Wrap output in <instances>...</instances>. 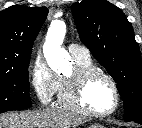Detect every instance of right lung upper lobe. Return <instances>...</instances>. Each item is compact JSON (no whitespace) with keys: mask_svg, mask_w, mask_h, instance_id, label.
I'll return each mask as SVG.
<instances>
[{"mask_svg":"<svg viewBox=\"0 0 142 128\" xmlns=\"http://www.w3.org/2000/svg\"><path fill=\"white\" fill-rule=\"evenodd\" d=\"M46 7L14 5L0 12V70L30 61L34 40L46 19Z\"/></svg>","mask_w":142,"mask_h":128,"instance_id":"obj_1","label":"right lung upper lobe"}]
</instances>
